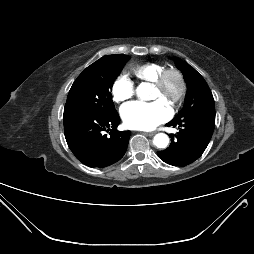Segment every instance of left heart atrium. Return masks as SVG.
Returning a JSON list of instances; mask_svg holds the SVG:
<instances>
[{
    "label": "left heart atrium",
    "instance_id": "1",
    "mask_svg": "<svg viewBox=\"0 0 254 254\" xmlns=\"http://www.w3.org/2000/svg\"><path fill=\"white\" fill-rule=\"evenodd\" d=\"M172 112L162 102L133 101L121 108V117L130 129L150 131L167 121Z\"/></svg>",
    "mask_w": 254,
    "mask_h": 254
}]
</instances>
